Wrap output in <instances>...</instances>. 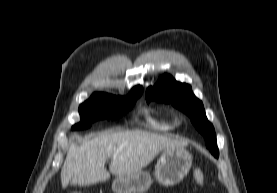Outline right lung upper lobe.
Returning a JSON list of instances; mask_svg holds the SVG:
<instances>
[{
    "mask_svg": "<svg viewBox=\"0 0 277 193\" xmlns=\"http://www.w3.org/2000/svg\"><path fill=\"white\" fill-rule=\"evenodd\" d=\"M143 91V88L141 86L134 87L129 94H141ZM104 94V93H102Z\"/></svg>",
    "mask_w": 277,
    "mask_h": 193,
    "instance_id": "1",
    "label": "right lung upper lobe"
}]
</instances>
